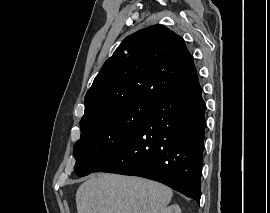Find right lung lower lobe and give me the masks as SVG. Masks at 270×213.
<instances>
[{
    "label": "right lung lower lobe",
    "mask_w": 270,
    "mask_h": 213,
    "mask_svg": "<svg viewBox=\"0 0 270 213\" xmlns=\"http://www.w3.org/2000/svg\"><path fill=\"white\" fill-rule=\"evenodd\" d=\"M205 109L195 73L156 103L136 133L94 172L152 179L199 203Z\"/></svg>",
    "instance_id": "right-lung-lower-lobe-1"
}]
</instances>
